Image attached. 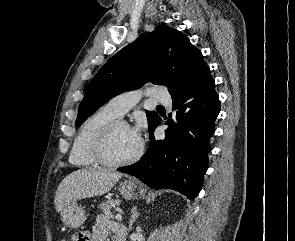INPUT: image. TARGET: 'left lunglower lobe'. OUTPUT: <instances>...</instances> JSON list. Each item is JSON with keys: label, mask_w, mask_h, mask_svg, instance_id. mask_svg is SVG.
Returning a JSON list of instances; mask_svg holds the SVG:
<instances>
[{"label": "left lung lower lobe", "mask_w": 295, "mask_h": 241, "mask_svg": "<svg viewBox=\"0 0 295 241\" xmlns=\"http://www.w3.org/2000/svg\"><path fill=\"white\" fill-rule=\"evenodd\" d=\"M210 75L196 80L188 89L172 96L174 118L169 119L165 139L153 133L161 118L150 130V145L136 163L117 170L133 175L154 189H173L194 200L201 190L208 168L210 138L220 112V101Z\"/></svg>", "instance_id": "left-lung-lower-lobe-1"}]
</instances>
